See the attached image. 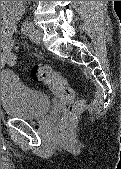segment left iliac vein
Here are the masks:
<instances>
[{
  "mask_svg": "<svg viewBox=\"0 0 121 169\" xmlns=\"http://www.w3.org/2000/svg\"><path fill=\"white\" fill-rule=\"evenodd\" d=\"M29 38L32 42L36 44H41L42 43V37L43 34L40 29L35 28L34 26L30 29L29 33Z\"/></svg>",
  "mask_w": 121,
  "mask_h": 169,
  "instance_id": "4c4485c4",
  "label": "left iliac vein"
}]
</instances>
